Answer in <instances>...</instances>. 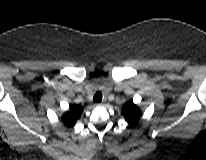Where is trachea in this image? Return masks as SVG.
Instances as JSON below:
<instances>
[{"instance_id": "3493384b", "label": "trachea", "mask_w": 206, "mask_h": 160, "mask_svg": "<svg viewBox=\"0 0 206 160\" xmlns=\"http://www.w3.org/2000/svg\"><path fill=\"white\" fill-rule=\"evenodd\" d=\"M101 100H102V93H101L100 91H98V92L94 95L93 101H94V102H101Z\"/></svg>"}]
</instances>
